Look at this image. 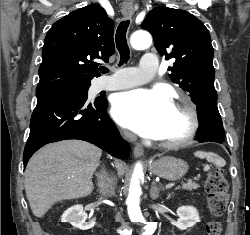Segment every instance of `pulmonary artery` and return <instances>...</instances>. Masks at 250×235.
Listing matches in <instances>:
<instances>
[{"instance_id":"obj_1","label":"pulmonary artery","mask_w":250,"mask_h":235,"mask_svg":"<svg viewBox=\"0 0 250 235\" xmlns=\"http://www.w3.org/2000/svg\"><path fill=\"white\" fill-rule=\"evenodd\" d=\"M158 67V59L153 53H146L138 67L126 68L103 81L97 82L98 90H119L140 85L149 80L150 74Z\"/></svg>"}]
</instances>
